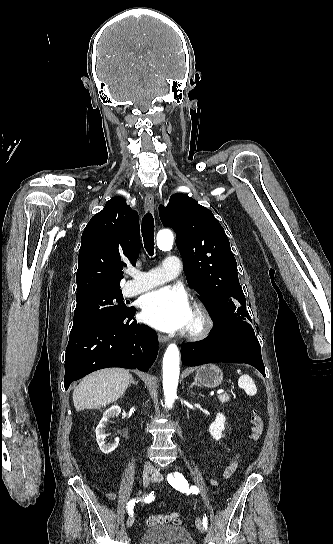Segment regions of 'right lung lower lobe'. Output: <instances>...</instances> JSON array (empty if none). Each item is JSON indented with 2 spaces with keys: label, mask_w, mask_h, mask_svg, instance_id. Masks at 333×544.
Instances as JSON below:
<instances>
[{
  "label": "right lung lower lobe",
  "mask_w": 333,
  "mask_h": 544,
  "mask_svg": "<svg viewBox=\"0 0 333 544\" xmlns=\"http://www.w3.org/2000/svg\"><path fill=\"white\" fill-rule=\"evenodd\" d=\"M135 312L132 308L121 317L69 338L65 354V390L73 381L103 368L149 370L158 352L157 336L148 326L136 322Z\"/></svg>",
  "instance_id": "right-lung-lower-lobe-1"
}]
</instances>
